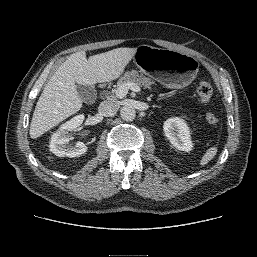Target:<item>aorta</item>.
I'll list each match as a JSON object with an SVG mask.
<instances>
[{
	"label": "aorta",
	"instance_id": "1",
	"mask_svg": "<svg viewBox=\"0 0 257 257\" xmlns=\"http://www.w3.org/2000/svg\"><path fill=\"white\" fill-rule=\"evenodd\" d=\"M120 115L125 121H133L136 117V110L134 107L126 105L121 108Z\"/></svg>",
	"mask_w": 257,
	"mask_h": 257
}]
</instances>
